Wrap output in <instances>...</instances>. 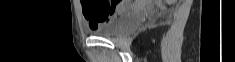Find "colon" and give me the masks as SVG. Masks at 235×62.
Here are the masks:
<instances>
[{
	"label": "colon",
	"mask_w": 235,
	"mask_h": 62,
	"mask_svg": "<svg viewBox=\"0 0 235 62\" xmlns=\"http://www.w3.org/2000/svg\"><path fill=\"white\" fill-rule=\"evenodd\" d=\"M120 3L121 0H112L111 3L103 0H85L83 1L84 15L96 25L107 22Z\"/></svg>",
	"instance_id": "1"
}]
</instances>
